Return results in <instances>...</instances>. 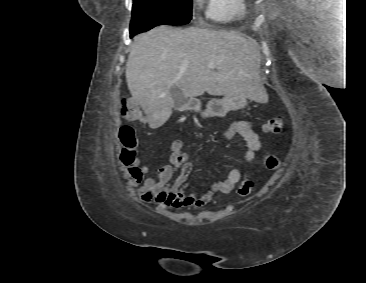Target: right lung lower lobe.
I'll return each instance as SVG.
<instances>
[{"label":"right lung lower lobe","instance_id":"right-lung-lower-lobe-1","mask_svg":"<svg viewBox=\"0 0 366 283\" xmlns=\"http://www.w3.org/2000/svg\"><path fill=\"white\" fill-rule=\"evenodd\" d=\"M134 35H136L135 33H130V37L132 38Z\"/></svg>","mask_w":366,"mask_h":283}]
</instances>
